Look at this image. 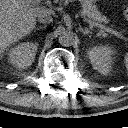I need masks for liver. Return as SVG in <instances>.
<instances>
[{
	"label": "liver",
	"mask_w": 128,
	"mask_h": 128,
	"mask_svg": "<svg viewBox=\"0 0 128 128\" xmlns=\"http://www.w3.org/2000/svg\"><path fill=\"white\" fill-rule=\"evenodd\" d=\"M45 11L26 0H0V59L11 44L34 29L36 17Z\"/></svg>",
	"instance_id": "obj_1"
}]
</instances>
